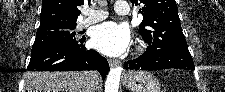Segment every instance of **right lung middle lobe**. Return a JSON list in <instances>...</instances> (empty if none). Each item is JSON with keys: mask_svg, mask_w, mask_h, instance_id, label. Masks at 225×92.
<instances>
[{"mask_svg": "<svg viewBox=\"0 0 225 92\" xmlns=\"http://www.w3.org/2000/svg\"><path fill=\"white\" fill-rule=\"evenodd\" d=\"M76 23H48L37 29L33 48L76 41Z\"/></svg>", "mask_w": 225, "mask_h": 92, "instance_id": "1", "label": "right lung middle lobe"}]
</instances>
